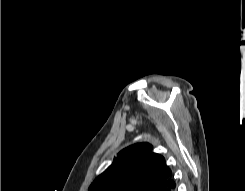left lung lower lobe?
Returning a JSON list of instances; mask_svg holds the SVG:
<instances>
[{"mask_svg": "<svg viewBox=\"0 0 245 191\" xmlns=\"http://www.w3.org/2000/svg\"><path fill=\"white\" fill-rule=\"evenodd\" d=\"M176 190H177L176 183L172 177L171 180L165 186H163V188L160 191H176Z\"/></svg>", "mask_w": 245, "mask_h": 191, "instance_id": "0a47b994", "label": "left lung lower lobe"}]
</instances>
